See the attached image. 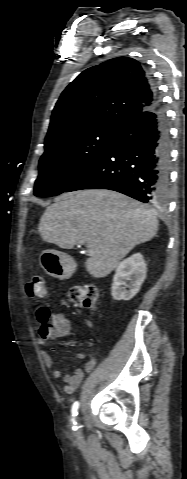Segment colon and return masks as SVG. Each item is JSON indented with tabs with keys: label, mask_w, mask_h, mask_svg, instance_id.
<instances>
[{
	"label": "colon",
	"mask_w": 187,
	"mask_h": 479,
	"mask_svg": "<svg viewBox=\"0 0 187 479\" xmlns=\"http://www.w3.org/2000/svg\"><path fill=\"white\" fill-rule=\"evenodd\" d=\"M27 293L35 299H45L47 288L42 275H35L26 285ZM99 293L94 285H74L66 293L67 301L75 306L93 310L97 307ZM35 317L39 323V334L44 339H54L60 332L50 310L46 307H39L35 310Z\"/></svg>",
	"instance_id": "colon-1"
}]
</instances>
